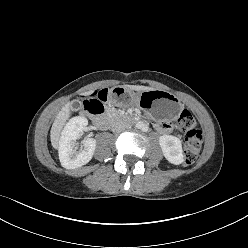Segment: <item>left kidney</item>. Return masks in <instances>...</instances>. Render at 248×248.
I'll return each instance as SVG.
<instances>
[{
    "label": "left kidney",
    "mask_w": 248,
    "mask_h": 248,
    "mask_svg": "<svg viewBox=\"0 0 248 248\" xmlns=\"http://www.w3.org/2000/svg\"><path fill=\"white\" fill-rule=\"evenodd\" d=\"M159 144L164 157L172 164L179 165L184 162L182 144L179 138L172 135L159 137Z\"/></svg>",
    "instance_id": "obj_1"
}]
</instances>
